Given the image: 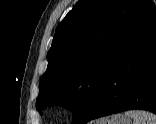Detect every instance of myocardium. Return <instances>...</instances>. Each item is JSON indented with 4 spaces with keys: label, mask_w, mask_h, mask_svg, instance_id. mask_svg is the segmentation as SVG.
<instances>
[{
    "label": "myocardium",
    "mask_w": 156,
    "mask_h": 124,
    "mask_svg": "<svg viewBox=\"0 0 156 124\" xmlns=\"http://www.w3.org/2000/svg\"><path fill=\"white\" fill-rule=\"evenodd\" d=\"M79 108L78 102L73 99H65L60 103V110L64 113H72Z\"/></svg>",
    "instance_id": "f54148a6"
}]
</instances>
